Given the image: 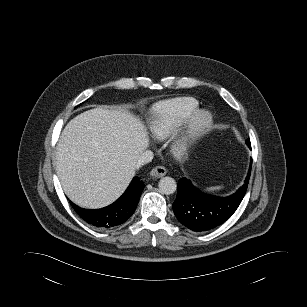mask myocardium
Returning <instances> with one entry per match:
<instances>
[{
	"label": "myocardium",
	"mask_w": 307,
	"mask_h": 307,
	"mask_svg": "<svg viewBox=\"0 0 307 307\" xmlns=\"http://www.w3.org/2000/svg\"><path fill=\"white\" fill-rule=\"evenodd\" d=\"M212 123L213 116L210 112L205 110L195 112L173 141L171 146L173 154L179 158L185 157L190 148L211 128Z\"/></svg>",
	"instance_id": "obj_1"
}]
</instances>
